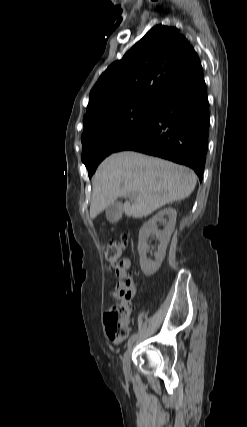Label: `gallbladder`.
<instances>
[{
	"label": "gallbladder",
	"mask_w": 247,
	"mask_h": 427,
	"mask_svg": "<svg viewBox=\"0 0 247 427\" xmlns=\"http://www.w3.org/2000/svg\"><path fill=\"white\" fill-rule=\"evenodd\" d=\"M123 214V204L121 202H114L106 209V218L109 222L115 223L120 220Z\"/></svg>",
	"instance_id": "1"
}]
</instances>
